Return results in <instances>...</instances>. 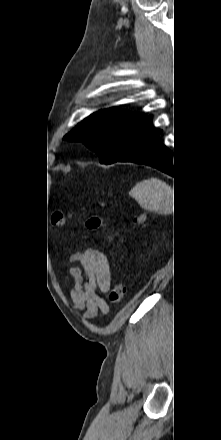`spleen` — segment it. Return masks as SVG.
Instances as JSON below:
<instances>
[{
  "label": "spleen",
  "instance_id": "spleen-1",
  "mask_svg": "<svg viewBox=\"0 0 221 440\" xmlns=\"http://www.w3.org/2000/svg\"><path fill=\"white\" fill-rule=\"evenodd\" d=\"M129 195L149 212L169 214L173 209V188L158 178L152 177L137 183Z\"/></svg>",
  "mask_w": 221,
  "mask_h": 440
}]
</instances>
